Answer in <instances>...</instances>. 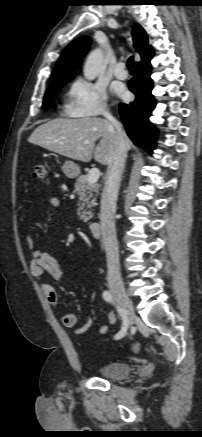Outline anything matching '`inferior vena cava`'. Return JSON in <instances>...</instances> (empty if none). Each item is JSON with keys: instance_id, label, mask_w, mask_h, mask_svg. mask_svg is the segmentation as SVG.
Returning a JSON list of instances; mask_svg holds the SVG:
<instances>
[{"instance_id": "inferior-vena-cava-1", "label": "inferior vena cava", "mask_w": 202, "mask_h": 437, "mask_svg": "<svg viewBox=\"0 0 202 437\" xmlns=\"http://www.w3.org/2000/svg\"><path fill=\"white\" fill-rule=\"evenodd\" d=\"M104 117L116 130L113 142V156L107 167L100 208L102 243L105 247L107 259V280L114 283L121 281L114 214L127 150L121 124L108 111L104 113Z\"/></svg>"}]
</instances>
